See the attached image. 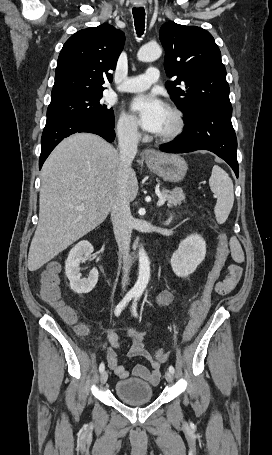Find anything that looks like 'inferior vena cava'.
Here are the masks:
<instances>
[{"instance_id":"inferior-vena-cava-1","label":"inferior vena cava","mask_w":272,"mask_h":455,"mask_svg":"<svg viewBox=\"0 0 272 455\" xmlns=\"http://www.w3.org/2000/svg\"><path fill=\"white\" fill-rule=\"evenodd\" d=\"M119 160L118 169V192L111 209V221L119 251L123 256L124 267L122 277V288L125 289L129 279V251L131 241V212L128 197L126 195V182L128 173L131 170V163L137 153L138 137L136 128L128 126L118 131Z\"/></svg>"}]
</instances>
